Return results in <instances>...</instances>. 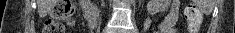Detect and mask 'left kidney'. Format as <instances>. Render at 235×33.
Instances as JSON below:
<instances>
[{"instance_id": "obj_1", "label": "left kidney", "mask_w": 235, "mask_h": 33, "mask_svg": "<svg viewBox=\"0 0 235 33\" xmlns=\"http://www.w3.org/2000/svg\"><path fill=\"white\" fill-rule=\"evenodd\" d=\"M168 7V0H149L147 3V12L153 16L159 12L167 11Z\"/></svg>"}]
</instances>
